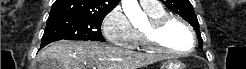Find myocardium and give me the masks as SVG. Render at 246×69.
I'll return each instance as SVG.
<instances>
[{
    "label": "myocardium",
    "instance_id": "obj_1",
    "mask_svg": "<svg viewBox=\"0 0 246 69\" xmlns=\"http://www.w3.org/2000/svg\"><path fill=\"white\" fill-rule=\"evenodd\" d=\"M174 20L179 21L190 34V38L193 45L187 50H176L174 48H170L158 40L164 28L171 21ZM140 33L144 43L150 49L156 50L158 52H162L170 55H180V54L190 53L195 48L196 38L192 27L186 20L175 14H167L159 18L150 19L147 23L146 29H142Z\"/></svg>",
    "mask_w": 246,
    "mask_h": 69
}]
</instances>
